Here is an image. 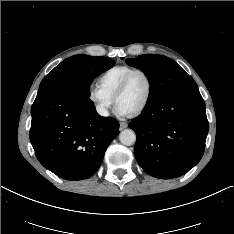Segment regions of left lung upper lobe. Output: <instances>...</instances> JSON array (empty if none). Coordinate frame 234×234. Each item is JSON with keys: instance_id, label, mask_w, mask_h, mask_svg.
Here are the masks:
<instances>
[{"instance_id": "left-lung-upper-lobe-1", "label": "left lung upper lobe", "mask_w": 234, "mask_h": 234, "mask_svg": "<svg viewBox=\"0 0 234 234\" xmlns=\"http://www.w3.org/2000/svg\"><path fill=\"white\" fill-rule=\"evenodd\" d=\"M126 63L139 68L149 80L150 94L145 108L153 106L178 87L194 81L179 64L166 56L140 55L126 59Z\"/></svg>"}]
</instances>
